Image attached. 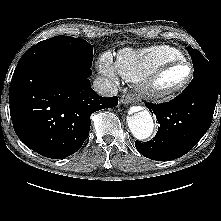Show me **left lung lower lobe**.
Here are the masks:
<instances>
[{
    "mask_svg": "<svg viewBox=\"0 0 221 221\" xmlns=\"http://www.w3.org/2000/svg\"><path fill=\"white\" fill-rule=\"evenodd\" d=\"M221 103V72L194 76L177 97L162 104L146 103L160 124L155 137L135 142L152 160H173L185 155L209 129L217 101Z\"/></svg>",
    "mask_w": 221,
    "mask_h": 221,
    "instance_id": "1",
    "label": "left lung lower lobe"
}]
</instances>
